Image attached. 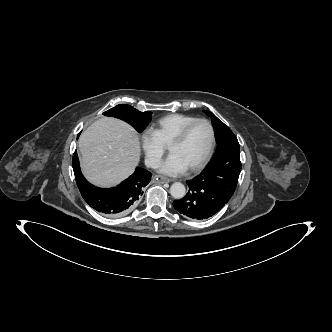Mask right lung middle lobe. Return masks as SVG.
I'll use <instances>...</instances> for the list:
<instances>
[{
    "mask_svg": "<svg viewBox=\"0 0 332 332\" xmlns=\"http://www.w3.org/2000/svg\"><path fill=\"white\" fill-rule=\"evenodd\" d=\"M113 116L132 125L138 132H142L151 121V112H140L130 105L120 104L103 113Z\"/></svg>",
    "mask_w": 332,
    "mask_h": 332,
    "instance_id": "obj_1",
    "label": "right lung middle lobe"
}]
</instances>
